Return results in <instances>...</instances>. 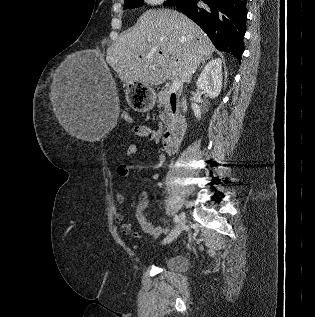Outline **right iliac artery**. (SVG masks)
<instances>
[{"label":"right iliac artery","mask_w":315,"mask_h":317,"mask_svg":"<svg viewBox=\"0 0 315 317\" xmlns=\"http://www.w3.org/2000/svg\"><path fill=\"white\" fill-rule=\"evenodd\" d=\"M179 221V216L178 215H175L174 217V222L177 223Z\"/></svg>","instance_id":"1"}]
</instances>
